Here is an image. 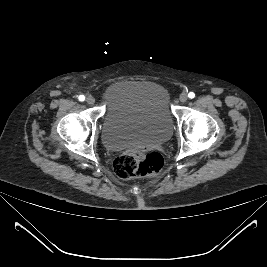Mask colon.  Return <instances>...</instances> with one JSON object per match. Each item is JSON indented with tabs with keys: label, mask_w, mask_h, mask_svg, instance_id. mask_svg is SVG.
Masks as SVG:
<instances>
[{
	"label": "colon",
	"mask_w": 267,
	"mask_h": 267,
	"mask_svg": "<svg viewBox=\"0 0 267 267\" xmlns=\"http://www.w3.org/2000/svg\"><path fill=\"white\" fill-rule=\"evenodd\" d=\"M163 165L164 160L159 153L141 150L118 156L113 170L121 179L153 177L161 172Z\"/></svg>",
	"instance_id": "1"
}]
</instances>
